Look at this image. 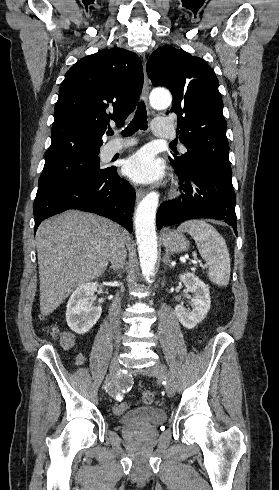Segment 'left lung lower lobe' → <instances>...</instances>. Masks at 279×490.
Masks as SVG:
<instances>
[{
	"instance_id": "1",
	"label": "left lung lower lobe",
	"mask_w": 279,
	"mask_h": 490,
	"mask_svg": "<svg viewBox=\"0 0 279 490\" xmlns=\"http://www.w3.org/2000/svg\"><path fill=\"white\" fill-rule=\"evenodd\" d=\"M175 173L183 193L177 200L160 206L156 216L157 229L188 219L211 218L225 221L237 236L232 172L214 164L200 163Z\"/></svg>"
}]
</instances>
